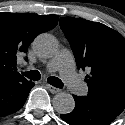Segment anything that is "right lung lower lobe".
Listing matches in <instances>:
<instances>
[{"label":"right lung lower lobe","mask_w":125,"mask_h":125,"mask_svg":"<svg viewBox=\"0 0 125 125\" xmlns=\"http://www.w3.org/2000/svg\"><path fill=\"white\" fill-rule=\"evenodd\" d=\"M35 84L32 81H11L0 87V117L22 108Z\"/></svg>","instance_id":"obj_1"}]
</instances>
